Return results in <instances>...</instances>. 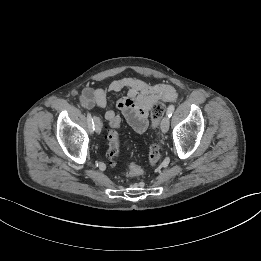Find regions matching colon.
<instances>
[{"instance_id":"obj_1","label":"colon","mask_w":261,"mask_h":261,"mask_svg":"<svg viewBox=\"0 0 261 261\" xmlns=\"http://www.w3.org/2000/svg\"><path fill=\"white\" fill-rule=\"evenodd\" d=\"M166 105L161 102H157L153 105L151 110V128L153 131H157L159 122L164 115ZM121 120L119 117H115L109 121V130L107 133L108 141V159L111 165L115 164V161L120 153L119 148V136L118 128L120 127ZM161 157L160 146L157 143L151 144L149 147L148 160L151 165L156 164ZM143 174V169L139 165L133 163L128 171L129 177H138Z\"/></svg>"}]
</instances>
